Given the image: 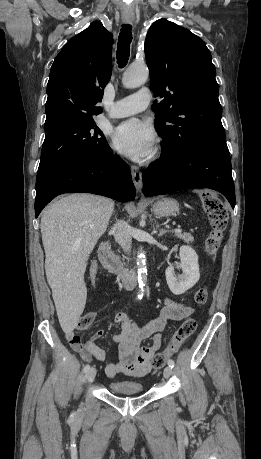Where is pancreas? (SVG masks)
I'll return each instance as SVG.
<instances>
[{
    "instance_id": "obj_1",
    "label": "pancreas",
    "mask_w": 261,
    "mask_h": 459,
    "mask_svg": "<svg viewBox=\"0 0 261 459\" xmlns=\"http://www.w3.org/2000/svg\"><path fill=\"white\" fill-rule=\"evenodd\" d=\"M175 236H177L178 238L182 239L183 241H185L186 243H192L194 241V238L191 234H187V233H176L175 232Z\"/></svg>"
}]
</instances>
